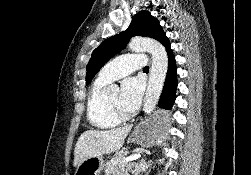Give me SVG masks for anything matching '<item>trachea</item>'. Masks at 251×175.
<instances>
[{
  "label": "trachea",
  "mask_w": 251,
  "mask_h": 175,
  "mask_svg": "<svg viewBox=\"0 0 251 175\" xmlns=\"http://www.w3.org/2000/svg\"><path fill=\"white\" fill-rule=\"evenodd\" d=\"M143 71H149V67H144Z\"/></svg>",
  "instance_id": "1"
}]
</instances>
